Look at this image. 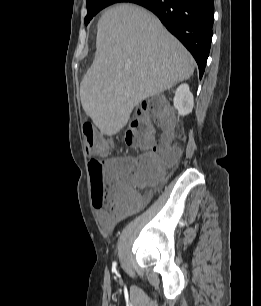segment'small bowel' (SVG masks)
Here are the masks:
<instances>
[{
  "mask_svg": "<svg viewBox=\"0 0 261 306\" xmlns=\"http://www.w3.org/2000/svg\"><path fill=\"white\" fill-rule=\"evenodd\" d=\"M116 160H120V159H115V158L108 159L107 163L111 164ZM150 196H151V191L146 192V194L143 197L139 198L135 207L141 206L144 203H146L149 200ZM132 209H134V207ZM96 216H97V219L101 227L105 231L111 232L115 228L117 223L123 219L124 212H107L105 210H100L97 212Z\"/></svg>",
  "mask_w": 261,
  "mask_h": 306,
  "instance_id": "c3829d8e",
  "label": "small bowel"
}]
</instances>
